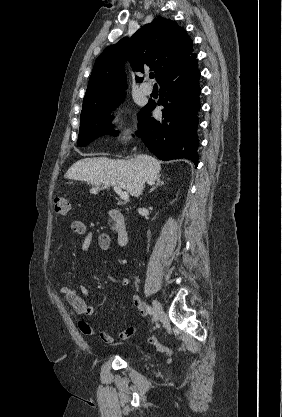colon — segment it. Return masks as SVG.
<instances>
[{
	"instance_id": "colon-1",
	"label": "colon",
	"mask_w": 282,
	"mask_h": 417,
	"mask_svg": "<svg viewBox=\"0 0 282 417\" xmlns=\"http://www.w3.org/2000/svg\"><path fill=\"white\" fill-rule=\"evenodd\" d=\"M71 208V201L68 196L61 195L55 198L54 200V213L59 217H66ZM148 343L152 345L158 352L167 355L168 357L173 356V352L167 347L160 344L154 336L148 338Z\"/></svg>"
}]
</instances>
